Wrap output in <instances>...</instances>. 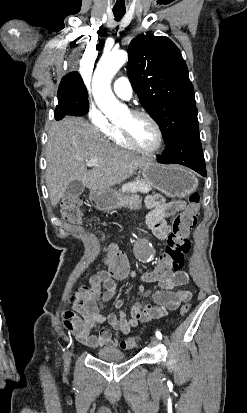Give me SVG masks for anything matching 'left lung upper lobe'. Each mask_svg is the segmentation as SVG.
Segmentation results:
<instances>
[{"mask_svg":"<svg viewBox=\"0 0 247 413\" xmlns=\"http://www.w3.org/2000/svg\"><path fill=\"white\" fill-rule=\"evenodd\" d=\"M127 73L165 144L199 137L194 88L180 50L165 36L139 35L128 47Z\"/></svg>","mask_w":247,"mask_h":413,"instance_id":"1","label":"left lung upper lobe"}]
</instances>
